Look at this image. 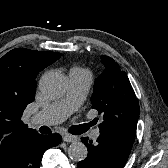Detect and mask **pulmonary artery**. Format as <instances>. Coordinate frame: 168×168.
<instances>
[{
    "label": "pulmonary artery",
    "instance_id": "pulmonary-artery-1",
    "mask_svg": "<svg viewBox=\"0 0 168 168\" xmlns=\"http://www.w3.org/2000/svg\"><path fill=\"white\" fill-rule=\"evenodd\" d=\"M69 84L63 98L44 107L32 118L33 124L53 125L64 121L84 102L92 84V75L83 69H72L68 74ZM100 135L98 128L92 132L96 140Z\"/></svg>",
    "mask_w": 168,
    "mask_h": 168
}]
</instances>
